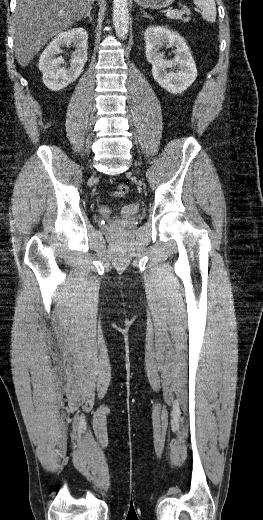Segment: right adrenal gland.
<instances>
[{
  "mask_svg": "<svg viewBox=\"0 0 263 520\" xmlns=\"http://www.w3.org/2000/svg\"><path fill=\"white\" fill-rule=\"evenodd\" d=\"M91 11H92V7L89 8L86 15H84L82 19L89 18V20L92 22Z\"/></svg>",
  "mask_w": 263,
  "mask_h": 520,
  "instance_id": "obj_1",
  "label": "right adrenal gland"
}]
</instances>
